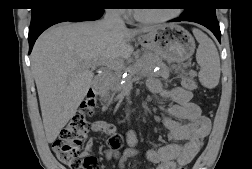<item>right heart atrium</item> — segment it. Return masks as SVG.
<instances>
[{"instance_id": "right-heart-atrium-1", "label": "right heart atrium", "mask_w": 252, "mask_h": 169, "mask_svg": "<svg viewBox=\"0 0 252 169\" xmlns=\"http://www.w3.org/2000/svg\"><path fill=\"white\" fill-rule=\"evenodd\" d=\"M112 12L121 17V18H127L128 15H129V10L128 9H123V8H120V9H112Z\"/></svg>"}]
</instances>
